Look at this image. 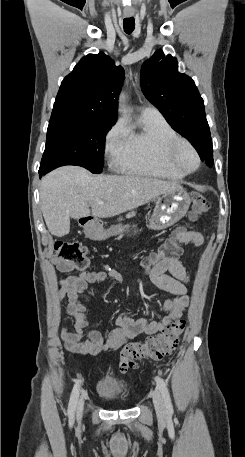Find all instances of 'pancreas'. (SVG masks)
I'll return each instance as SVG.
<instances>
[{"label": "pancreas", "mask_w": 245, "mask_h": 457, "mask_svg": "<svg viewBox=\"0 0 245 457\" xmlns=\"http://www.w3.org/2000/svg\"><path fill=\"white\" fill-rule=\"evenodd\" d=\"M135 214V210H131V212H128V214H126V218H132V216H135ZM119 220H124V218H119Z\"/></svg>", "instance_id": "cf45deb5"}]
</instances>
